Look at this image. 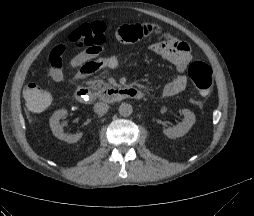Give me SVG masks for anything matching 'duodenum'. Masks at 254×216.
Segmentation results:
<instances>
[{
    "instance_id": "duodenum-1",
    "label": "duodenum",
    "mask_w": 254,
    "mask_h": 216,
    "mask_svg": "<svg viewBox=\"0 0 254 216\" xmlns=\"http://www.w3.org/2000/svg\"><path fill=\"white\" fill-rule=\"evenodd\" d=\"M75 97L78 102L83 104L88 103L95 98L108 103H113L125 98L141 99L143 94L136 88H105L102 90H93L88 87H80L76 90Z\"/></svg>"
}]
</instances>
